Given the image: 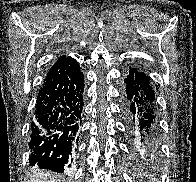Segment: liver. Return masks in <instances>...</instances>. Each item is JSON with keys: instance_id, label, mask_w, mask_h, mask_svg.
<instances>
[{"instance_id": "1", "label": "liver", "mask_w": 196, "mask_h": 182, "mask_svg": "<svg viewBox=\"0 0 196 182\" xmlns=\"http://www.w3.org/2000/svg\"><path fill=\"white\" fill-rule=\"evenodd\" d=\"M31 182H57V180L53 178L52 173L40 171L31 177Z\"/></svg>"}]
</instances>
